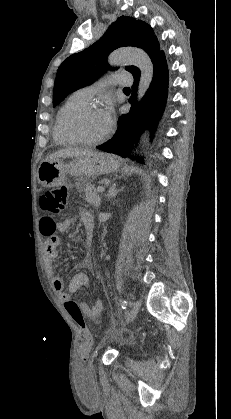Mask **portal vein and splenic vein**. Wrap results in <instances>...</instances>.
<instances>
[{"label":"portal vein and splenic vein","mask_w":231,"mask_h":419,"mask_svg":"<svg viewBox=\"0 0 231 419\" xmlns=\"http://www.w3.org/2000/svg\"><path fill=\"white\" fill-rule=\"evenodd\" d=\"M97 191L100 192V193H102L104 191V187L103 186H99L97 188Z\"/></svg>","instance_id":"18ae733b"}]
</instances>
